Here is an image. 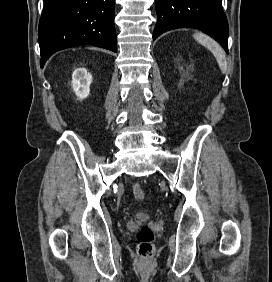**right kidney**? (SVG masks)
I'll return each instance as SVG.
<instances>
[{"instance_id":"right-kidney-1","label":"right kidney","mask_w":272,"mask_h":282,"mask_svg":"<svg viewBox=\"0 0 272 282\" xmlns=\"http://www.w3.org/2000/svg\"><path fill=\"white\" fill-rule=\"evenodd\" d=\"M92 75L86 68H78L72 74V87L77 97L82 100L88 97Z\"/></svg>"}]
</instances>
